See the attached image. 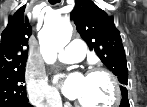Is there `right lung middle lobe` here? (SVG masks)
Returning a JSON list of instances; mask_svg holds the SVG:
<instances>
[{
	"instance_id": "right-lung-middle-lobe-1",
	"label": "right lung middle lobe",
	"mask_w": 147,
	"mask_h": 107,
	"mask_svg": "<svg viewBox=\"0 0 147 107\" xmlns=\"http://www.w3.org/2000/svg\"><path fill=\"white\" fill-rule=\"evenodd\" d=\"M24 77L25 67L0 74V107H16L28 103Z\"/></svg>"
}]
</instances>
